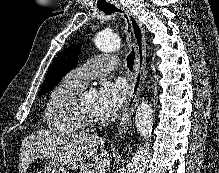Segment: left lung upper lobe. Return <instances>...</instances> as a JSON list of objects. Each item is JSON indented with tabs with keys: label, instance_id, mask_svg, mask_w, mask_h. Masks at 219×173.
<instances>
[{
	"label": "left lung upper lobe",
	"instance_id": "1",
	"mask_svg": "<svg viewBox=\"0 0 219 173\" xmlns=\"http://www.w3.org/2000/svg\"><path fill=\"white\" fill-rule=\"evenodd\" d=\"M80 50V45L72 44L53 60L48 68L39 96L50 91L66 73L76 67Z\"/></svg>",
	"mask_w": 219,
	"mask_h": 173
}]
</instances>
